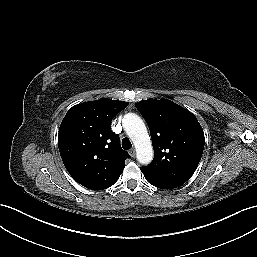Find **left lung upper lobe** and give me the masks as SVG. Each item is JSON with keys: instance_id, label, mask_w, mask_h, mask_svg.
Listing matches in <instances>:
<instances>
[{"instance_id": "5c2ea615", "label": "left lung upper lobe", "mask_w": 257, "mask_h": 257, "mask_svg": "<svg viewBox=\"0 0 257 257\" xmlns=\"http://www.w3.org/2000/svg\"><path fill=\"white\" fill-rule=\"evenodd\" d=\"M148 123L154 159L145 167L148 174L167 172L190 179L201 159L205 138L194 114L167 99L136 103Z\"/></svg>"}]
</instances>
